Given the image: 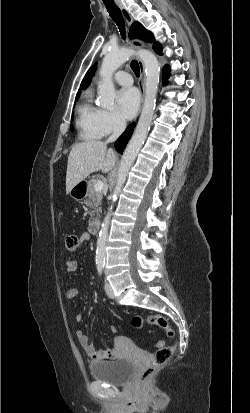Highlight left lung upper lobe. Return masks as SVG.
<instances>
[{
  "mask_svg": "<svg viewBox=\"0 0 250 413\" xmlns=\"http://www.w3.org/2000/svg\"><path fill=\"white\" fill-rule=\"evenodd\" d=\"M130 38H139L146 42H153L154 37L152 33L146 30L139 22H134L130 28ZM153 48L155 51H161V46L158 42L154 43Z\"/></svg>",
  "mask_w": 250,
  "mask_h": 413,
  "instance_id": "1",
  "label": "left lung upper lobe"
}]
</instances>
